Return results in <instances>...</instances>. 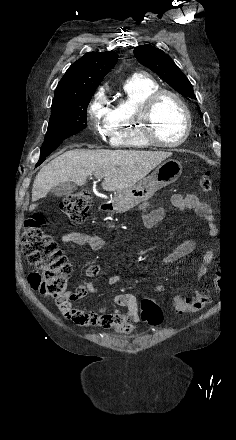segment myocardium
Masks as SVG:
<instances>
[{
    "label": "myocardium",
    "mask_w": 236,
    "mask_h": 440,
    "mask_svg": "<svg viewBox=\"0 0 236 440\" xmlns=\"http://www.w3.org/2000/svg\"><path fill=\"white\" fill-rule=\"evenodd\" d=\"M164 96L172 97L180 105L185 116L186 123H185V129L183 135L181 136L180 139L173 142H164L160 140L157 136L156 128H155L154 110L158 101ZM138 118L139 121L141 122L142 134L144 138L150 145L155 147H162V148L178 147L188 139L192 129V117L186 102L179 94L169 89L158 88L155 91H153L144 100Z\"/></svg>",
    "instance_id": "obj_1"
}]
</instances>
